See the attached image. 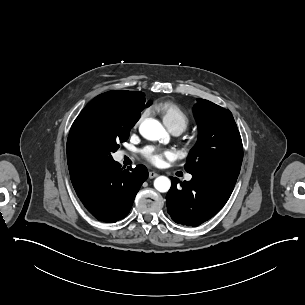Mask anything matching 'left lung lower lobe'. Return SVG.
Masks as SVG:
<instances>
[{
	"label": "left lung lower lobe",
	"mask_w": 305,
	"mask_h": 305,
	"mask_svg": "<svg viewBox=\"0 0 305 305\" xmlns=\"http://www.w3.org/2000/svg\"><path fill=\"white\" fill-rule=\"evenodd\" d=\"M170 178L167 211L176 223L193 227L209 220L225 205L236 183L229 178L201 175H192L190 181L184 182Z\"/></svg>",
	"instance_id": "obj_1"
}]
</instances>
